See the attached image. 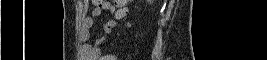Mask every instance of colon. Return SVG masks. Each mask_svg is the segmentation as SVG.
Returning a JSON list of instances; mask_svg holds the SVG:
<instances>
[{
	"instance_id": "obj_1",
	"label": "colon",
	"mask_w": 267,
	"mask_h": 60,
	"mask_svg": "<svg viewBox=\"0 0 267 60\" xmlns=\"http://www.w3.org/2000/svg\"><path fill=\"white\" fill-rule=\"evenodd\" d=\"M97 3H102V1H95ZM129 2V0H116L114 1V4L117 5L118 8V16L120 18H124L128 12L127 8L125 7V5ZM114 27L116 25V23H113Z\"/></svg>"
}]
</instances>
